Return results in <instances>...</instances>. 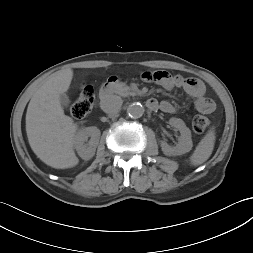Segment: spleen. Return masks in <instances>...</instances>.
<instances>
[{
  "label": "spleen",
  "instance_id": "obj_1",
  "mask_svg": "<svg viewBox=\"0 0 253 253\" xmlns=\"http://www.w3.org/2000/svg\"><path fill=\"white\" fill-rule=\"evenodd\" d=\"M215 131L210 129L197 145L190 157L191 165L198 166L204 163L212 154L215 143Z\"/></svg>",
  "mask_w": 253,
  "mask_h": 253
}]
</instances>
